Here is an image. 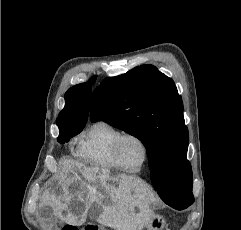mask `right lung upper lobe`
<instances>
[{
  "label": "right lung upper lobe",
  "instance_id": "right-lung-upper-lobe-1",
  "mask_svg": "<svg viewBox=\"0 0 241 230\" xmlns=\"http://www.w3.org/2000/svg\"><path fill=\"white\" fill-rule=\"evenodd\" d=\"M96 76L89 82L81 83L71 87L65 93V107L59 113L57 125L84 127L88 120L89 103L92 95L91 85Z\"/></svg>",
  "mask_w": 241,
  "mask_h": 230
}]
</instances>
